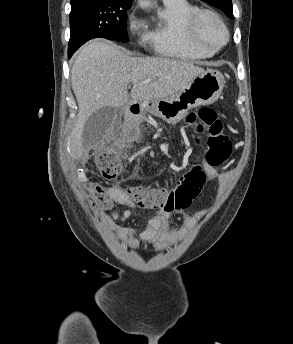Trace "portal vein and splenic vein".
<instances>
[{
	"label": "portal vein and splenic vein",
	"instance_id": "18ae733b",
	"mask_svg": "<svg viewBox=\"0 0 293 344\" xmlns=\"http://www.w3.org/2000/svg\"><path fill=\"white\" fill-rule=\"evenodd\" d=\"M148 82H149V80L144 81V83H148Z\"/></svg>",
	"mask_w": 293,
	"mask_h": 344
}]
</instances>
